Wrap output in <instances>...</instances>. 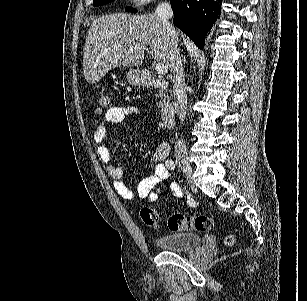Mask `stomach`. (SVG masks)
<instances>
[{"label": "stomach", "instance_id": "obj_1", "mask_svg": "<svg viewBox=\"0 0 307 301\" xmlns=\"http://www.w3.org/2000/svg\"><path fill=\"white\" fill-rule=\"evenodd\" d=\"M127 80L134 86H142L145 82V76L139 68H129L127 72Z\"/></svg>", "mask_w": 307, "mask_h": 301}]
</instances>
